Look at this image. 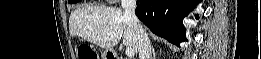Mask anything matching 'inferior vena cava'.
<instances>
[{"instance_id": "obj_1", "label": "inferior vena cava", "mask_w": 261, "mask_h": 59, "mask_svg": "<svg viewBox=\"0 0 261 59\" xmlns=\"http://www.w3.org/2000/svg\"><path fill=\"white\" fill-rule=\"evenodd\" d=\"M122 8L126 19L132 23L135 29L139 46V59H152L148 34L135 14L136 0H122Z\"/></svg>"}]
</instances>
